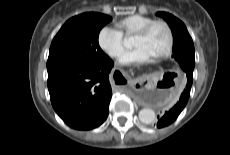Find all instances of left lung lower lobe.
Instances as JSON below:
<instances>
[{"instance_id":"1","label":"left lung lower lobe","mask_w":230,"mask_h":155,"mask_svg":"<svg viewBox=\"0 0 230 155\" xmlns=\"http://www.w3.org/2000/svg\"><path fill=\"white\" fill-rule=\"evenodd\" d=\"M193 82V73L189 72L187 74V84L185 88L183 89L180 98L178 102L171 108L169 111H167L163 117H161L157 123V127H165L170 125L172 122L176 120L178 115L181 113V111L184 109L185 105L187 104V101L190 96V90ZM164 86V85H162ZM159 118V116H158Z\"/></svg>"}]
</instances>
